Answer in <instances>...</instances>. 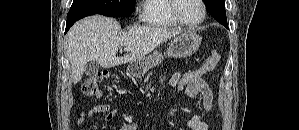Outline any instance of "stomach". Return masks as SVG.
I'll return each mask as SVG.
<instances>
[{
  "mask_svg": "<svg viewBox=\"0 0 299 130\" xmlns=\"http://www.w3.org/2000/svg\"><path fill=\"white\" fill-rule=\"evenodd\" d=\"M202 38L196 32L189 30L171 40L167 47V55L173 58H184L194 54L201 45ZM163 60L162 53L154 51L140 60L130 62L128 71L133 75H141L157 66Z\"/></svg>",
  "mask_w": 299,
  "mask_h": 130,
  "instance_id": "0dacf381",
  "label": "stomach"
}]
</instances>
